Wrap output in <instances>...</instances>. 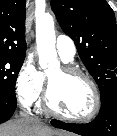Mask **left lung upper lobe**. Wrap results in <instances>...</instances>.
I'll list each match as a JSON object with an SVG mask.
<instances>
[{
  "label": "left lung upper lobe",
  "instance_id": "1",
  "mask_svg": "<svg viewBox=\"0 0 117 136\" xmlns=\"http://www.w3.org/2000/svg\"><path fill=\"white\" fill-rule=\"evenodd\" d=\"M63 31L95 79L101 101L117 90V25L105 0H51Z\"/></svg>",
  "mask_w": 117,
  "mask_h": 136
}]
</instances>
